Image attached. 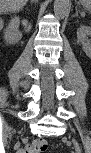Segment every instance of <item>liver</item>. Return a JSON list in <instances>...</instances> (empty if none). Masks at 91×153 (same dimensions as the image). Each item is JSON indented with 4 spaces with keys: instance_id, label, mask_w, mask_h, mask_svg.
Returning <instances> with one entry per match:
<instances>
[{
    "instance_id": "obj_1",
    "label": "liver",
    "mask_w": 91,
    "mask_h": 153,
    "mask_svg": "<svg viewBox=\"0 0 91 153\" xmlns=\"http://www.w3.org/2000/svg\"><path fill=\"white\" fill-rule=\"evenodd\" d=\"M28 0H1L0 6L3 12H16L22 9Z\"/></svg>"
}]
</instances>
